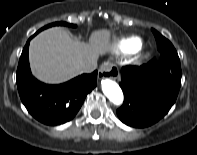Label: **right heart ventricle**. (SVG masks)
Masks as SVG:
<instances>
[{
  "mask_svg": "<svg viewBox=\"0 0 197 155\" xmlns=\"http://www.w3.org/2000/svg\"><path fill=\"white\" fill-rule=\"evenodd\" d=\"M142 41L138 37H127L118 40L114 45V50L116 52H135L140 49Z\"/></svg>",
  "mask_w": 197,
  "mask_h": 155,
  "instance_id": "1",
  "label": "right heart ventricle"
}]
</instances>
